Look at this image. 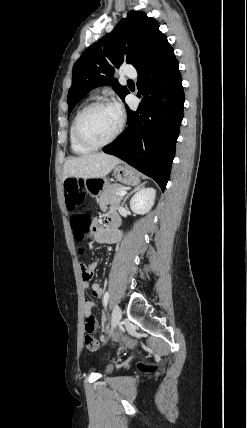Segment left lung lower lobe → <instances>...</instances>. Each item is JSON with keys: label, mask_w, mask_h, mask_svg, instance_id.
<instances>
[{"label": "left lung lower lobe", "mask_w": 247, "mask_h": 428, "mask_svg": "<svg viewBox=\"0 0 247 428\" xmlns=\"http://www.w3.org/2000/svg\"><path fill=\"white\" fill-rule=\"evenodd\" d=\"M137 72V96H143L142 102L136 112L126 106L127 128L103 151L153 178L164 191L185 101L173 48L160 53Z\"/></svg>", "instance_id": "left-lung-lower-lobe-1"}]
</instances>
